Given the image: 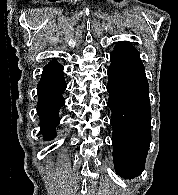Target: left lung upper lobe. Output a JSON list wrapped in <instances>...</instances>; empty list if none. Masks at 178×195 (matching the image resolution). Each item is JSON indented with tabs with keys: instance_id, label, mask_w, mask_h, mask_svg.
Returning a JSON list of instances; mask_svg holds the SVG:
<instances>
[{
	"instance_id": "5c2ea615",
	"label": "left lung upper lobe",
	"mask_w": 178,
	"mask_h": 195,
	"mask_svg": "<svg viewBox=\"0 0 178 195\" xmlns=\"http://www.w3.org/2000/svg\"><path fill=\"white\" fill-rule=\"evenodd\" d=\"M114 51L139 57V53L136 48L130 42L127 41L118 42L114 48Z\"/></svg>"
}]
</instances>
